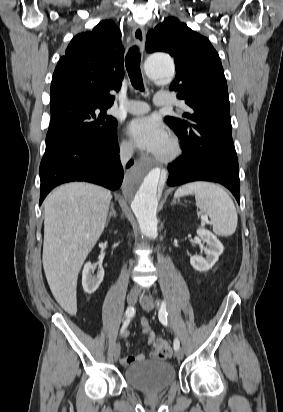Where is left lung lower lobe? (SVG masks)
<instances>
[{"instance_id":"1","label":"left lung lower lobe","mask_w":283,"mask_h":412,"mask_svg":"<svg viewBox=\"0 0 283 412\" xmlns=\"http://www.w3.org/2000/svg\"><path fill=\"white\" fill-rule=\"evenodd\" d=\"M183 154L168 165L170 186L203 180L220 183L227 187L240 203L239 166L211 159L195 134L178 135Z\"/></svg>"}]
</instances>
